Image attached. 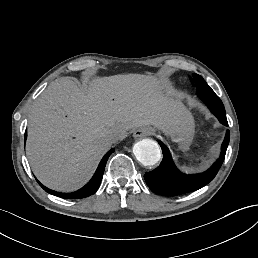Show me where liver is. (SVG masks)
I'll list each match as a JSON object with an SVG mask.
<instances>
[{
	"instance_id": "6515ba94",
	"label": "liver",
	"mask_w": 258,
	"mask_h": 258,
	"mask_svg": "<svg viewBox=\"0 0 258 258\" xmlns=\"http://www.w3.org/2000/svg\"><path fill=\"white\" fill-rule=\"evenodd\" d=\"M168 77L139 73L91 79L78 86L56 79L34 104L27 126L26 154L35 177L64 193L81 189L111 147L128 130L152 125L174 133L183 102Z\"/></svg>"
}]
</instances>
